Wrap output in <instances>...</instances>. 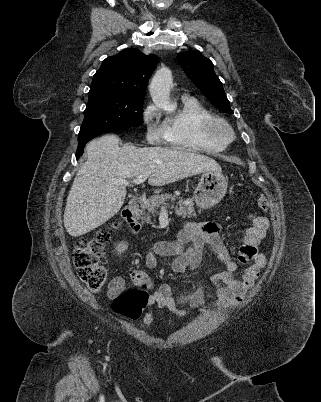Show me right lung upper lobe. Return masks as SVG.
Returning <instances> with one entry per match:
<instances>
[{"instance_id": "1", "label": "right lung upper lobe", "mask_w": 321, "mask_h": 402, "mask_svg": "<svg viewBox=\"0 0 321 402\" xmlns=\"http://www.w3.org/2000/svg\"><path fill=\"white\" fill-rule=\"evenodd\" d=\"M157 56L145 55L133 48L106 58L95 73L89 92L102 91L132 98L144 99L145 86L156 68Z\"/></svg>"}]
</instances>
